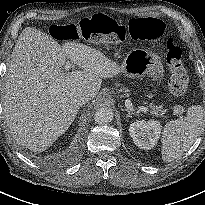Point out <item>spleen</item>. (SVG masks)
<instances>
[{
	"mask_svg": "<svg viewBox=\"0 0 205 205\" xmlns=\"http://www.w3.org/2000/svg\"><path fill=\"white\" fill-rule=\"evenodd\" d=\"M204 113L202 106L194 105L183 120H172L165 125L161 139L164 162L175 160L192 146L200 133Z\"/></svg>",
	"mask_w": 205,
	"mask_h": 205,
	"instance_id": "obj_1",
	"label": "spleen"
}]
</instances>
